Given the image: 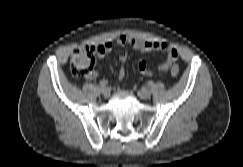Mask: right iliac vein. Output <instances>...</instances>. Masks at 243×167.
<instances>
[{
  "mask_svg": "<svg viewBox=\"0 0 243 167\" xmlns=\"http://www.w3.org/2000/svg\"><path fill=\"white\" fill-rule=\"evenodd\" d=\"M100 92L105 98L110 95V89L108 87H101Z\"/></svg>",
  "mask_w": 243,
  "mask_h": 167,
  "instance_id": "obj_1",
  "label": "right iliac vein"
}]
</instances>
